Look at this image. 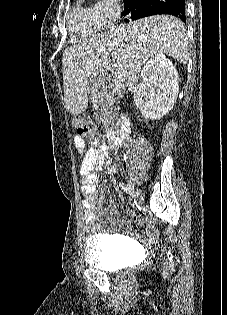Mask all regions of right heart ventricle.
<instances>
[{
  "mask_svg": "<svg viewBox=\"0 0 227 315\" xmlns=\"http://www.w3.org/2000/svg\"><path fill=\"white\" fill-rule=\"evenodd\" d=\"M73 41H82L95 35L99 30L90 7L77 0L67 15Z\"/></svg>",
  "mask_w": 227,
  "mask_h": 315,
  "instance_id": "obj_1",
  "label": "right heart ventricle"
}]
</instances>
